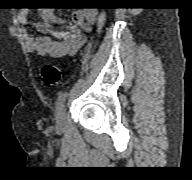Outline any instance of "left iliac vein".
I'll return each instance as SVG.
<instances>
[{"label":"left iliac vein","mask_w":192,"mask_h":180,"mask_svg":"<svg viewBox=\"0 0 192 180\" xmlns=\"http://www.w3.org/2000/svg\"><path fill=\"white\" fill-rule=\"evenodd\" d=\"M66 124V111L62 107L56 114V129L62 131Z\"/></svg>","instance_id":"obj_1"}]
</instances>
